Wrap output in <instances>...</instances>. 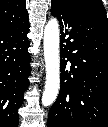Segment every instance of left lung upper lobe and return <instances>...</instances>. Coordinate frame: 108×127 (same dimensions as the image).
Here are the masks:
<instances>
[{
    "label": "left lung upper lobe",
    "instance_id": "obj_1",
    "mask_svg": "<svg viewBox=\"0 0 108 127\" xmlns=\"http://www.w3.org/2000/svg\"><path fill=\"white\" fill-rule=\"evenodd\" d=\"M70 1L77 4L80 8H85L101 14L107 20L106 11L101 0H70Z\"/></svg>",
    "mask_w": 108,
    "mask_h": 127
}]
</instances>
